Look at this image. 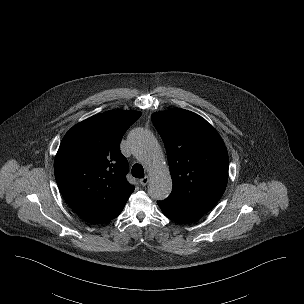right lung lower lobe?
Masks as SVG:
<instances>
[{
	"mask_svg": "<svg viewBox=\"0 0 304 304\" xmlns=\"http://www.w3.org/2000/svg\"><path fill=\"white\" fill-rule=\"evenodd\" d=\"M119 214H120V212H119L115 217H117ZM115 217H114V218H115ZM111 220H112V219H111Z\"/></svg>",
	"mask_w": 304,
	"mask_h": 304,
	"instance_id": "obj_1",
	"label": "right lung lower lobe"
}]
</instances>
